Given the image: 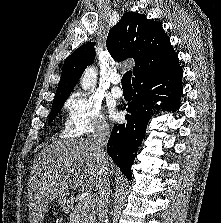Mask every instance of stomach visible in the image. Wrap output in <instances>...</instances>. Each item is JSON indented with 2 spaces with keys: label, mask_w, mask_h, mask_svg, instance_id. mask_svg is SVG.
I'll return each instance as SVG.
<instances>
[{
  "label": "stomach",
  "mask_w": 221,
  "mask_h": 223,
  "mask_svg": "<svg viewBox=\"0 0 221 223\" xmlns=\"http://www.w3.org/2000/svg\"><path fill=\"white\" fill-rule=\"evenodd\" d=\"M73 196L70 193H66L63 195H60L58 198V204L62 208L64 212H70L73 207Z\"/></svg>",
  "instance_id": "stomach-1"
}]
</instances>
